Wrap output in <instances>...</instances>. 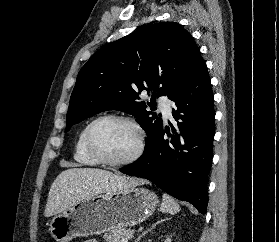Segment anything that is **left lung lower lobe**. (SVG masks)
Listing matches in <instances>:
<instances>
[{
    "label": "left lung lower lobe",
    "mask_w": 279,
    "mask_h": 242,
    "mask_svg": "<svg viewBox=\"0 0 279 242\" xmlns=\"http://www.w3.org/2000/svg\"><path fill=\"white\" fill-rule=\"evenodd\" d=\"M172 101L175 102L173 117L177 124L170 123L171 131L161 127L144 154L119 171L146 178L205 214L215 110L211 81L200 51ZM164 133L170 139H164Z\"/></svg>",
    "instance_id": "0a47b994"
}]
</instances>
